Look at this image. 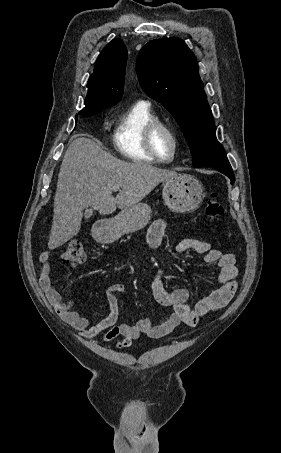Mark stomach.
<instances>
[{
    "mask_svg": "<svg viewBox=\"0 0 281 453\" xmlns=\"http://www.w3.org/2000/svg\"><path fill=\"white\" fill-rule=\"evenodd\" d=\"M162 198L172 212H193L204 198V186L191 174H179L163 182ZM151 208L145 202L122 208L114 218H106L94 229L100 243H113L122 235L144 229L151 220Z\"/></svg>",
    "mask_w": 281,
    "mask_h": 453,
    "instance_id": "0dacf381",
    "label": "stomach"
}]
</instances>
